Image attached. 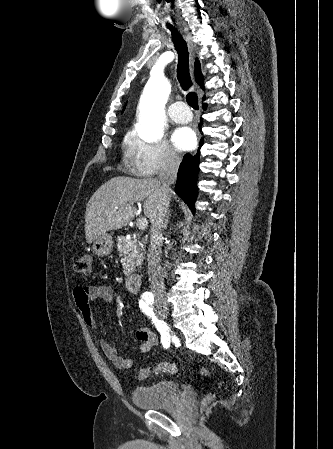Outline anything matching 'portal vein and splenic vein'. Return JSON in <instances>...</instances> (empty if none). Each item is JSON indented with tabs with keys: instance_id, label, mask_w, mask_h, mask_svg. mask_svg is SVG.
Listing matches in <instances>:
<instances>
[{
	"instance_id": "obj_1",
	"label": "portal vein and splenic vein",
	"mask_w": 333,
	"mask_h": 449,
	"mask_svg": "<svg viewBox=\"0 0 333 449\" xmlns=\"http://www.w3.org/2000/svg\"><path fill=\"white\" fill-rule=\"evenodd\" d=\"M136 225L139 229L143 230L148 226V220L146 218H140Z\"/></svg>"
}]
</instances>
